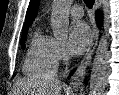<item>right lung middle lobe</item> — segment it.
Listing matches in <instances>:
<instances>
[{
    "label": "right lung middle lobe",
    "instance_id": "1",
    "mask_svg": "<svg viewBox=\"0 0 119 95\" xmlns=\"http://www.w3.org/2000/svg\"><path fill=\"white\" fill-rule=\"evenodd\" d=\"M26 35H27V31L22 33L21 45H22L23 48H25V43H24V41H25Z\"/></svg>",
    "mask_w": 119,
    "mask_h": 95
}]
</instances>
